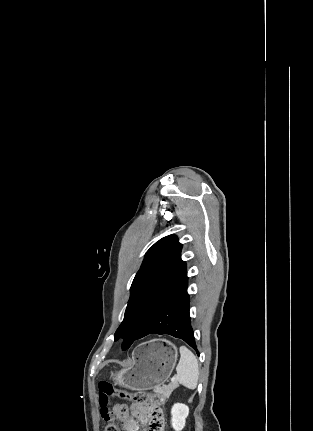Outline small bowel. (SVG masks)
I'll list each match as a JSON object with an SVG mask.
<instances>
[{
  "label": "small bowel",
  "mask_w": 313,
  "mask_h": 431,
  "mask_svg": "<svg viewBox=\"0 0 313 431\" xmlns=\"http://www.w3.org/2000/svg\"><path fill=\"white\" fill-rule=\"evenodd\" d=\"M116 418L122 423L124 431H139L140 427H149L151 431L153 417L147 407L141 404H117L113 408Z\"/></svg>",
  "instance_id": "small-bowel-1"
}]
</instances>
